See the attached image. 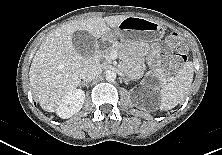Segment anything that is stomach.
<instances>
[{
  "label": "stomach",
  "mask_w": 222,
  "mask_h": 155,
  "mask_svg": "<svg viewBox=\"0 0 222 155\" xmlns=\"http://www.w3.org/2000/svg\"><path fill=\"white\" fill-rule=\"evenodd\" d=\"M164 36V28L159 23L141 17H128L115 29L102 36V42L117 43L120 39L125 44L140 45L154 42Z\"/></svg>",
  "instance_id": "stomach-1"
}]
</instances>
